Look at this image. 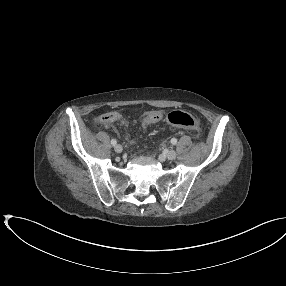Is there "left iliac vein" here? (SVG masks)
Listing matches in <instances>:
<instances>
[{"instance_id":"1","label":"left iliac vein","mask_w":286,"mask_h":286,"mask_svg":"<svg viewBox=\"0 0 286 286\" xmlns=\"http://www.w3.org/2000/svg\"><path fill=\"white\" fill-rule=\"evenodd\" d=\"M176 156H177V153L175 150H170L166 155L167 159L169 160H174Z\"/></svg>"}]
</instances>
